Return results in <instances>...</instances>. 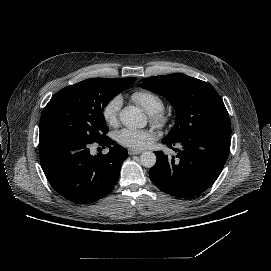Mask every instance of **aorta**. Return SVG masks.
<instances>
[{
    "mask_svg": "<svg viewBox=\"0 0 271 271\" xmlns=\"http://www.w3.org/2000/svg\"><path fill=\"white\" fill-rule=\"evenodd\" d=\"M123 125L128 129L144 128L147 125V116L140 108L126 106L119 113ZM140 162L146 168H151L156 163V155L151 151H145L140 155Z\"/></svg>",
    "mask_w": 271,
    "mask_h": 271,
    "instance_id": "1",
    "label": "aorta"
}]
</instances>
